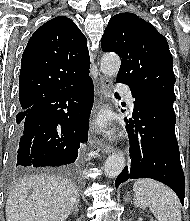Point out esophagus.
Segmentation results:
<instances>
[{
  "mask_svg": "<svg viewBox=\"0 0 190 221\" xmlns=\"http://www.w3.org/2000/svg\"><path fill=\"white\" fill-rule=\"evenodd\" d=\"M112 88V82L109 78L105 76H100L99 84H98V93H99V100L98 106L100 107L103 104V101L110 96ZM99 143L102 147L103 153H111L114 150V147L110 144H107L102 139L99 140Z\"/></svg>",
  "mask_w": 190,
  "mask_h": 221,
  "instance_id": "esophagus-1",
  "label": "esophagus"
}]
</instances>
